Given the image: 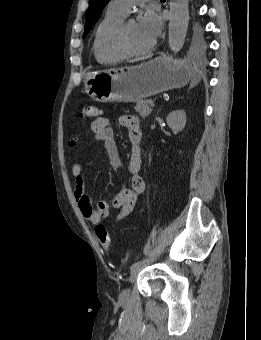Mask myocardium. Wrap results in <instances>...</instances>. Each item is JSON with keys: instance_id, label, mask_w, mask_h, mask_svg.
I'll return each instance as SVG.
<instances>
[{"instance_id": "f54148a6", "label": "myocardium", "mask_w": 261, "mask_h": 340, "mask_svg": "<svg viewBox=\"0 0 261 340\" xmlns=\"http://www.w3.org/2000/svg\"><path fill=\"white\" fill-rule=\"evenodd\" d=\"M132 22H135L133 18H125L113 31L110 40V46L113 51L121 55L122 57H137L146 55L151 52L155 46V42L153 41L152 44L140 51H132L130 50L125 41V33L128 25Z\"/></svg>"}]
</instances>
